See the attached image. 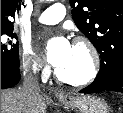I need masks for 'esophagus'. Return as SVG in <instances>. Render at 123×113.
<instances>
[{"label":"esophagus","instance_id":"1","mask_svg":"<svg viewBox=\"0 0 123 113\" xmlns=\"http://www.w3.org/2000/svg\"><path fill=\"white\" fill-rule=\"evenodd\" d=\"M55 94H56V95H61V92L55 91Z\"/></svg>","mask_w":123,"mask_h":113}]
</instances>
